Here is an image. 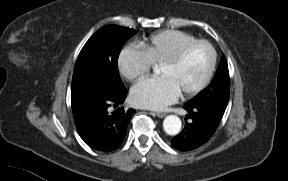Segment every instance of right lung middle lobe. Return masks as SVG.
<instances>
[{"mask_svg":"<svg viewBox=\"0 0 288 181\" xmlns=\"http://www.w3.org/2000/svg\"><path fill=\"white\" fill-rule=\"evenodd\" d=\"M136 31L107 25L99 29L82 48L73 73L72 111H85L98 97L125 89L118 73V56L123 44Z\"/></svg>","mask_w":288,"mask_h":181,"instance_id":"right-lung-middle-lobe-1","label":"right lung middle lobe"}]
</instances>
